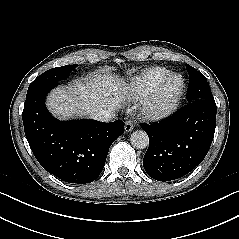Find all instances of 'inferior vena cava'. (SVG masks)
<instances>
[{"mask_svg": "<svg viewBox=\"0 0 239 239\" xmlns=\"http://www.w3.org/2000/svg\"><path fill=\"white\" fill-rule=\"evenodd\" d=\"M115 116V111L99 110L94 113L93 118L101 122H109L113 120Z\"/></svg>", "mask_w": 239, "mask_h": 239, "instance_id": "obj_1", "label": "inferior vena cava"}]
</instances>
